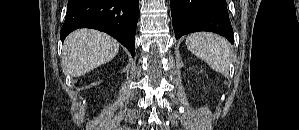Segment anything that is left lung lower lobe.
I'll return each instance as SVG.
<instances>
[{"label": "left lung lower lobe", "mask_w": 299, "mask_h": 130, "mask_svg": "<svg viewBox=\"0 0 299 130\" xmlns=\"http://www.w3.org/2000/svg\"><path fill=\"white\" fill-rule=\"evenodd\" d=\"M170 3L176 39L196 31H210L233 43L226 0H170Z\"/></svg>", "instance_id": "left-lung-lower-lobe-1"}]
</instances>
